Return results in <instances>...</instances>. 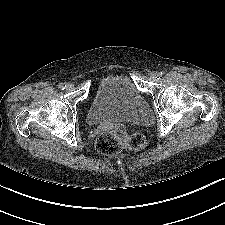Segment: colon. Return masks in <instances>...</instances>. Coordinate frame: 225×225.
Masks as SVG:
<instances>
[{"instance_id": "colon-1", "label": "colon", "mask_w": 225, "mask_h": 225, "mask_svg": "<svg viewBox=\"0 0 225 225\" xmlns=\"http://www.w3.org/2000/svg\"><path fill=\"white\" fill-rule=\"evenodd\" d=\"M145 145L146 137L143 134H128L122 130L103 132L95 142L97 151L104 155H114L124 150H140Z\"/></svg>"}]
</instances>
